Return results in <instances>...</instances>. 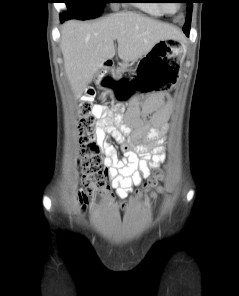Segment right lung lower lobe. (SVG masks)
I'll list each match as a JSON object with an SVG mask.
<instances>
[{
    "label": "right lung lower lobe",
    "instance_id": "98d812e1",
    "mask_svg": "<svg viewBox=\"0 0 239 296\" xmlns=\"http://www.w3.org/2000/svg\"><path fill=\"white\" fill-rule=\"evenodd\" d=\"M64 20H67V19L61 15V21L63 22Z\"/></svg>",
    "mask_w": 239,
    "mask_h": 296
}]
</instances>
